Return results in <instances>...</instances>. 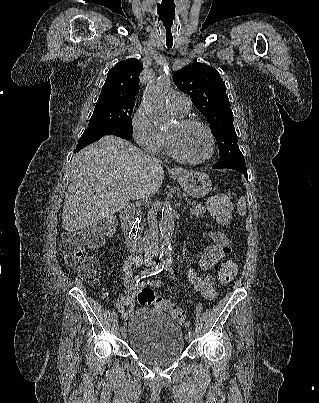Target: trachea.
<instances>
[{
    "instance_id": "3493384b",
    "label": "trachea",
    "mask_w": 319,
    "mask_h": 403,
    "mask_svg": "<svg viewBox=\"0 0 319 403\" xmlns=\"http://www.w3.org/2000/svg\"><path fill=\"white\" fill-rule=\"evenodd\" d=\"M163 24H164V34H165L166 46L168 48H171L173 46V32H172L173 22L166 20V21H163Z\"/></svg>"
}]
</instances>
